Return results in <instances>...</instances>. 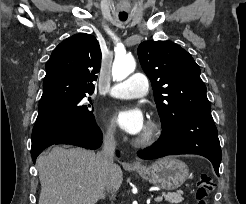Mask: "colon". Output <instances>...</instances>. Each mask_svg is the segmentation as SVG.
I'll return each instance as SVG.
<instances>
[{"label":"colon","instance_id":"1","mask_svg":"<svg viewBox=\"0 0 246 204\" xmlns=\"http://www.w3.org/2000/svg\"><path fill=\"white\" fill-rule=\"evenodd\" d=\"M215 183L207 174H201L197 181V204H208V197L214 191Z\"/></svg>","mask_w":246,"mask_h":204}]
</instances>
